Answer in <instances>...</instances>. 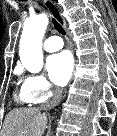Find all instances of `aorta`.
I'll use <instances>...</instances> for the list:
<instances>
[{
	"instance_id": "obj_1",
	"label": "aorta",
	"mask_w": 117,
	"mask_h": 136,
	"mask_svg": "<svg viewBox=\"0 0 117 136\" xmlns=\"http://www.w3.org/2000/svg\"><path fill=\"white\" fill-rule=\"evenodd\" d=\"M48 26L46 14H38L24 23L20 40V60L32 73H38L43 66L42 40Z\"/></svg>"
}]
</instances>
